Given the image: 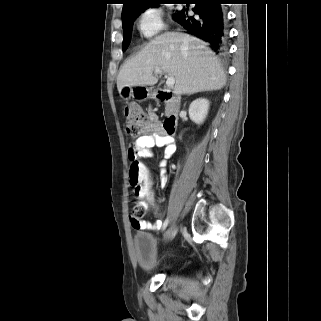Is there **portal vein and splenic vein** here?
<instances>
[{"label": "portal vein and splenic vein", "instance_id": "obj_1", "mask_svg": "<svg viewBox=\"0 0 321 321\" xmlns=\"http://www.w3.org/2000/svg\"><path fill=\"white\" fill-rule=\"evenodd\" d=\"M154 72H155V74H163V71L160 69H155ZM174 84H175L174 77H168L166 80V86L171 88L174 86Z\"/></svg>", "mask_w": 321, "mask_h": 321}]
</instances>
